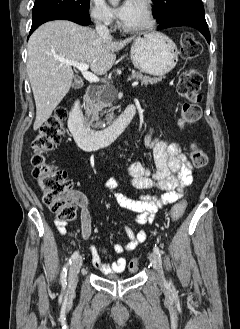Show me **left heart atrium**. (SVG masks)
<instances>
[{"label": "left heart atrium", "mask_w": 240, "mask_h": 329, "mask_svg": "<svg viewBox=\"0 0 240 329\" xmlns=\"http://www.w3.org/2000/svg\"><path fill=\"white\" fill-rule=\"evenodd\" d=\"M135 0H124L112 9L115 16L121 20L126 19L132 11Z\"/></svg>", "instance_id": "left-heart-atrium-1"}]
</instances>
